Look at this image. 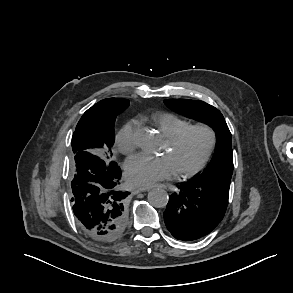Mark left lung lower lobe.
Listing matches in <instances>:
<instances>
[{"instance_id": "left-lung-lower-lobe-1", "label": "left lung lower lobe", "mask_w": 293, "mask_h": 293, "mask_svg": "<svg viewBox=\"0 0 293 293\" xmlns=\"http://www.w3.org/2000/svg\"><path fill=\"white\" fill-rule=\"evenodd\" d=\"M230 182H184L169 196L164 221L171 234L183 241L199 239L211 232L223 219L229 198Z\"/></svg>"}]
</instances>
